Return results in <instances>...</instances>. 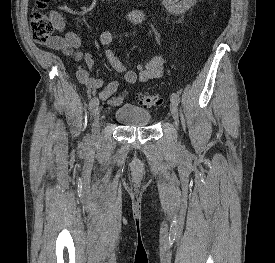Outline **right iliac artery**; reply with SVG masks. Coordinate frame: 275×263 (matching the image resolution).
<instances>
[{"label":"right iliac artery","instance_id":"82829eb1","mask_svg":"<svg viewBox=\"0 0 275 263\" xmlns=\"http://www.w3.org/2000/svg\"><path fill=\"white\" fill-rule=\"evenodd\" d=\"M97 104H98V99L96 97H94L90 100V102H89V116H90V118L92 117Z\"/></svg>","mask_w":275,"mask_h":263}]
</instances>
